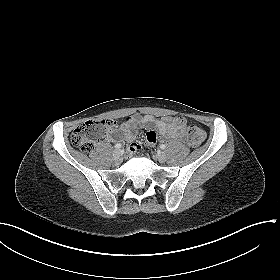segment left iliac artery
Here are the masks:
<instances>
[{"instance_id": "left-iliac-artery-1", "label": "left iliac artery", "mask_w": 280, "mask_h": 280, "mask_svg": "<svg viewBox=\"0 0 280 280\" xmlns=\"http://www.w3.org/2000/svg\"><path fill=\"white\" fill-rule=\"evenodd\" d=\"M160 148H161V149H165V148H166V145H165V144H161V145H160Z\"/></svg>"}]
</instances>
